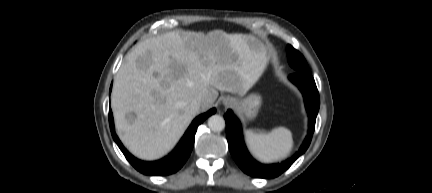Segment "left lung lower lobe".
<instances>
[{
    "instance_id": "0a47b994",
    "label": "left lung lower lobe",
    "mask_w": 432,
    "mask_h": 193,
    "mask_svg": "<svg viewBox=\"0 0 432 193\" xmlns=\"http://www.w3.org/2000/svg\"><path fill=\"white\" fill-rule=\"evenodd\" d=\"M289 79L302 92L305 107L309 116L308 136L300 147V150L289 160L281 164L263 165L257 162L248 152L242 135L241 124L237 117L229 110L225 115L226 135L232 157L238 166L248 175L259 178H274L287 170L292 163L302 155L310 145L315 130L316 116L318 114L320 101L319 94L311 73L296 72Z\"/></svg>"
}]
</instances>
